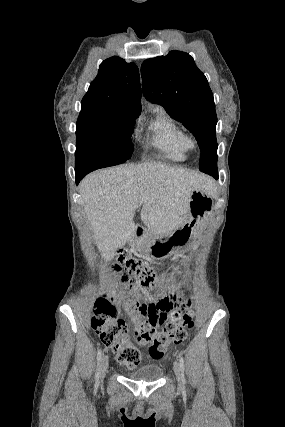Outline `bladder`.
I'll return each mask as SVG.
<instances>
[{"instance_id": "bladder-1", "label": "bladder", "mask_w": 285, "mask_h": 427, "mask_svg": "<svg viewBox=\"0 0 285 427\" xmlns=\"http://www.w3.org/2000/svg\"><path fill=\"white\" fill-rule=\"evenodd\" d=\"M163 373V369L156 364H148L129 374V378L137 382H156Z\"/></svg>"}]
</instances>
